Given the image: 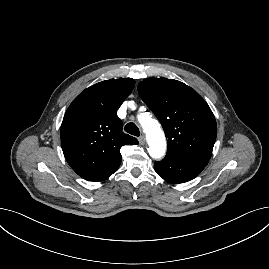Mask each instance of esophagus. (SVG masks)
Wrapping results in <instances>:
<instances>
[{"label": "esophagus", "instance_id": "34e87169", "mask_svg": "<svg viewBox=\"0 0 269 269\" xmlns=\"http://www.w3.org/2000/svg\"><path fill=\"white\" fill-rule=\"evenodd\" d=\"M138 140H139V143L141 145H144L145 144V136L144 135H141Z\"/></svg>", "mask_w": 269, "mask_h": 269}]
</instances>
